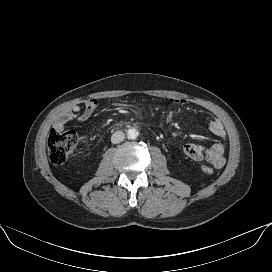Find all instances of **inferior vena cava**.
Returning a JSON list of instances; mask_svg holds the SVG:
<instances>
[{"instance_id": "inferior-vena-cava-1", "label": "inferior vena cava", "mask_w": 272, "mask_h": 272, "mask_svg": "<svg viewBox=\"0 0 272 272\" xmlns=\"http://www.w3.org/2000/svg\"><path fill=\"white\" fill-rule=\"evenodd\" d=\"M125 134L122 131H117L111 136V142L113 144L120 143L124 140Z\"/></svg>"}]
</instances>
